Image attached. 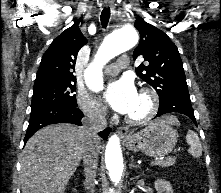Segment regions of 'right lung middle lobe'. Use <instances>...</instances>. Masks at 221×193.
Returning <instances> with one entry per match:
<instances>
[{"label": "right lung middle lobe", "instance_id": "dd1d6c3e", "mask_svg": "<svg viewBox=\"0 0 221 193\" xmlns=\"http://www.w3.org/2000/svg\"><path fill=\"white\" fill-rule=\"evenodd\" d=\"M74 82H50L34 85L31 108H38L44 105L64 103L77 105Z\"/></svg>", "mask_w": 221, "mask_h": 193}]
</instances>
